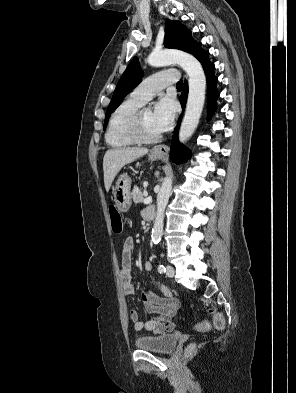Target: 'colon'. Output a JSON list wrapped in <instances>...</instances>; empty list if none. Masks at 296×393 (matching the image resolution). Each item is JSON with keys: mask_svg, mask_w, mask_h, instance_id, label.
<instances>
[{"mask_svg": "<svg viewBox=\"0 0 296 393\" xmlns=\"http://www.w3.org/2000/svg\"><path fill=\"white\" fill-rule=\"evenodd\" d=\"M109 216H110L112 231L115 234H121L124 228L123 221L118 210L112 205L109 207ZM210 312L214 314V320H213L214 327L218 330L223 329L225 326L224 317L220 313L216 312L214 308H210ZM197 329L200 331H208L210 329V323L208 321H201L200 323L197 324ZM193 349L194 347L190 346L189 351H192Z\"/></svg>", "mask_w": 296, "mask_h": 393, "instance_id": "1", "label": "colon"}]
</instances>
